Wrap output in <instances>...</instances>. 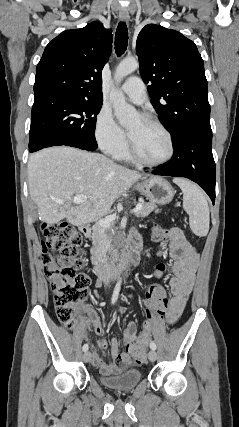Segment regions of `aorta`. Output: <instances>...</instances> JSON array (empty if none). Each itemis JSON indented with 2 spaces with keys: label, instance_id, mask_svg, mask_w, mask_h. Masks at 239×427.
<instances>
[{
  "label": "aorta",
  "instance_id": "obj_1",
  "mask_svg": "<svg viewBox=\"0 0 239 427\" xmlns=\"http://www.w3.org/2000/svg\"><path fill=\"white\" fill-rule=\"evenodd\" d=\"M139 63L135 59H125L117 66L114 78L117 83H120L124 77L137 70ZM110 100L114 109V114L121 125H126L132 121L136 115V109L129 105L125 96L118 88H115L110 93Z\"/></svg>",
  "mask_w": 239,
  "mask_h": 427
}]
</instances>
